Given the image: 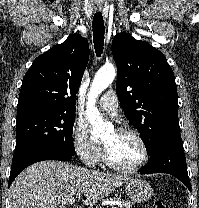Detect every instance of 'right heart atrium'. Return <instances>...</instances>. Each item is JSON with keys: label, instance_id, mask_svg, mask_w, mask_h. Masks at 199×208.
I'll return each mask as SVG.
<instances>
[{"label": "right heart atrium", "instance_id": "obj_1", "mask_svg": "<svg viewBox=\"0 0 199 208\" xmlns=\"http://www.w3.org/2000/svg\"><path fill=\"white\" fill-rule=\"evenodd\" d=\"M72 142L76 153L88 165H96L102 156L100 145L90 136L87 125L76 120L72 131Z\"/></svg>", "mask_w": 199, "mask_h": 208}]
</instances>
